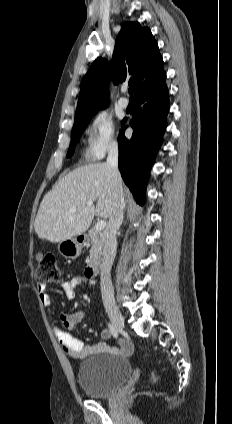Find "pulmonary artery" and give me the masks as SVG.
Returning <instances> with one entry per match:
<instances>
[{
  "mask_svg": "<svg viewBox=\"0 0 232 424\" xmlns=\"http://www.w3.org/2000/svg\"><path fill=\"white\" fill-rule=\"evenodd\" d=\"M118 103H119V106L123 109H126L129 105L128 99L124 96L119 99Z\"/></svg>",
  "mask_w": 232,
  "mask_h": 424,
  "instance_id": "obj_1",
  "label": "pulmonary artery"
}]
</instances>
